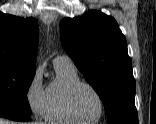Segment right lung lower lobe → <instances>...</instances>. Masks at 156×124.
<instances>
[{
	"instance_id": "1",
	"label": "right lung lower lobe",
	"mask_w": 156,
	"mask_h": 124,
	"mask_svg": "<svg viewBox=\"0 0 156 124\" xmlns=\"http://www.w3.org/2000/svg\"><path fill=\"white\" fill-rule=\"evenodd\" d=\"M0 117L14 121H29L31 119L30 114L6 108H0Z\"/></svg>"
}]
</instances>
